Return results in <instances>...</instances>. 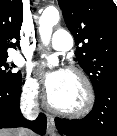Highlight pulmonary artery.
<instances>
[{
	"label": "pulmonary artery",
	"instance_id": "pulmonary-artery-1",
	"mask_svg": "<svg viewBox=\"0 0 117 136\" xmlns=\"http://www.w3.org/2000/svg\"><path fill=\"white\" fill-rule=\"evenodd\" d=\"M73 46L72 35L65 30H57L54 32L50 47L57 51H68Z\"/></svg>",
	"mask_w": 117,
	"mask_h": 136
}]
</instances>
